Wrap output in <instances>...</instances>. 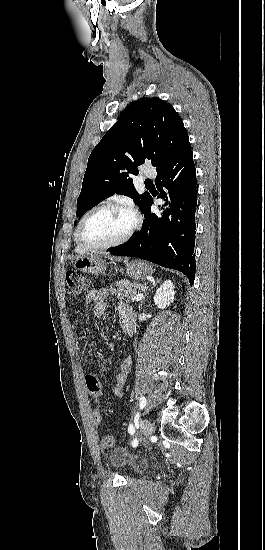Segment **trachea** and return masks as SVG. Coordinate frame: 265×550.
Here are the masks:
<instances>
[{"mask_svg": "<svg viewBox=\"0 0 265 550\" xmlns=\"http://www.w3.org/2000/svg\"><path fill=\"white\" fill-rule=\"evenodd\" d=\"M145 183H146V184H150V183H152V182H151V180H146Z\"/></svg>", "mask_w": 265, "mask_h": 550, "instance_id": "obj_1", "label": "trachea"}]
</instances>
